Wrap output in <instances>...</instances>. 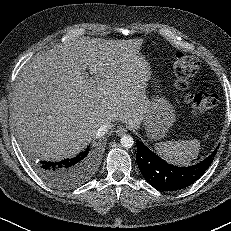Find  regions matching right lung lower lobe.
Returning a JSON list of instances; mask_svg holds the SVG:
<instances>
[{"mask_svg": "<svg viewBox=\"0 0 231 231\" xmlns=\"http://www.w3.org/2000/svg\"><path fill=\"white\" fill-rule=\"evenodd\" d=\"M97 150L87 147L77 156L58 162L41 161L35 165L38 174L49 184L61 188H75L87 181L96 171Z\"/></svg>", "mask_w": 231, "mask_h": 231, "instance_id": "98d812e1", "label": "right lung lower lobe"}]
</instances>
